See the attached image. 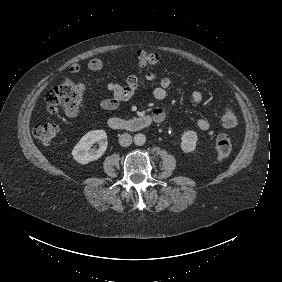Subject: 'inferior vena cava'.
Listing matches in <instances>:
<instances>
[{"label":"inferior vena cava","instance_id":"obj_1","mask_svg":"<svg viewBox=\"0 0 282 282\" xmlns=\"http://www.w3.org/2000/svg\"><path fill=\"white\" fill-rule=\"evenodd\" d=\"M118 141L121 146L128 147L132 143V137L131 135L124 133L119 137Z\"/></svg>","mask_w":282,"mask_h":282}]
</instances>
